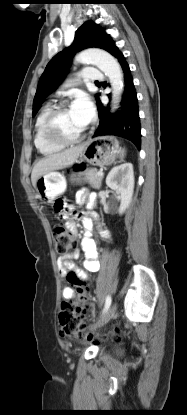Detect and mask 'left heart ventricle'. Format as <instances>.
Segmentation results:
<instances>
[{"label":"left heart ventricle","instance_id":"b2bd125f","mask_svg":"<svg viewBox=\"0 0 187 415\" xmlns=\"http://www.w3.org/2000/svg\"><path fill=\"white\" fill-rule=\"evenodd\" d=\"M85 125L71 108L64 110L57 119V129L65 137H75L81 133Z\"/></svg>","mask_w":187,"mask_h":415}]
</instances>
